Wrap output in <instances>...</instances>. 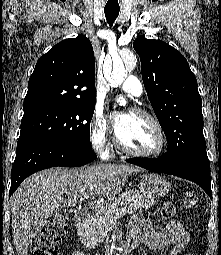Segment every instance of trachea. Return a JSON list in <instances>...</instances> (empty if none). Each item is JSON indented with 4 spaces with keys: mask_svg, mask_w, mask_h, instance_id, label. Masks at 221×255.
I'll list each match as a JSON object with an SVG mask.
<instances>
[{
    "mask_svg": "<svg viewBox=\"0 0 221 255\" xmlns=\"http://www.w3.org/2000/svg\"><path fill=\"white\" fill-rule=\"evenodd\" d=\"M119 11H120V9H116V8H112V9H107V8H105V9H104L107 23H108L110 26L113 25L114 21H115L116 18L118 17Z\"/></svg>",
    "mask_w": 221,
    "mask_h": 255,
    "instance_id": "obj_1",
    "label": "trachea"
}]
</instances>
